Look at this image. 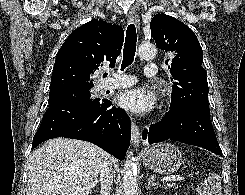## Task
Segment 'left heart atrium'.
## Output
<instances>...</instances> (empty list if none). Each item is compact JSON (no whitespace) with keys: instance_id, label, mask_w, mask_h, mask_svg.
<instances>
[{"instance_id":"1","label":"left heart atrium","mask_w":245,"mask_h":195,"mask_svg":"<svg viewBox=\"0 0 245 195\" xmlns=\"http://www.w3.org/2000/svg\"><path fill=\"white\" fill-rule=\"evenodd\" d=\"M118 103L123 109L138 115H145L155 107L154 97L142 88L122 91Z\"/></svg>"}]
</instances>
